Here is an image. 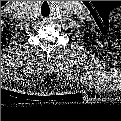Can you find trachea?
<instances>
[{
  "instance_id": "obj_1",
  "label": "trachea",
  "mask_w": 121,
  "mask_h": 121,
  "mask_svg": "<svg viewBox=\"0 0 121 121\" xmlns=\"http://www.w3.org/2000/svg\"><path fill=\"white\" fill-rule=\"evenodd\" d=\"M40 15L43 18H48L51 15V7L47 3V1H44L43 4L40 7Z\"/></svg>"
}]
</instances>
